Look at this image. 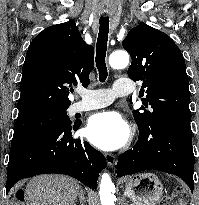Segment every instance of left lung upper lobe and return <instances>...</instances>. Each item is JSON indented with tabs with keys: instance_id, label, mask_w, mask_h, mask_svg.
<instances>
[{
	"instance_id": "1",
	"label": "left lung upper lobe",
	"mask_w": 199,
	"mask_h": 205,
	"mask_svg": "<svg viewBox=\"0 0 199 205\" xmlns=\"http://www.w3.org/2000/svg\"><path fill=\"white\" fill-rule=\"evenodd\" d=\"M122 45L132 58L128 76L143 81L140 93L146 95L144 105L153 109L133 111L139 131L149 130L163 119L191 121L185 60L174 41L142 23L129 31Z\"/></svg>"
}]
</instances>
